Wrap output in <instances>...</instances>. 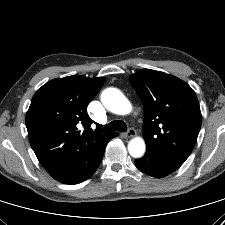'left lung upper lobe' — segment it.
Here are the masks:
<instances>
[{"label":"left lung upper lobe","instance_id":"1","mask_svg":"<svg viewBox=\"0 0 225 225\" xmlns=\"http://www.w3.org/2000/svg\"><path fill=\"white\" fill-rule=\"evenodd\" d=\"M129 80L144 106L147 149L183 164L201 128L195 92L177 77L151 69H142Z\"/></svg>","mask_w":225,"mask_h":225}]
</instances>
